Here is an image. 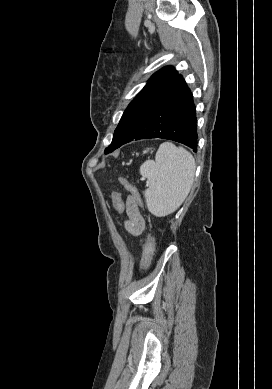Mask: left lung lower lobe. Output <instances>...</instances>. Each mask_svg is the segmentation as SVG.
Wrapping results in <instances>:
<instances>
[{
  "mask_svg": "<svg viewBox=\"0 0 272 389\" xmlns=\"http://www.w3.org/2000/svg\"><path fill=\"white\" fill-rule=\"evenodd\" d=\"M147 138L173 140L197 152L195 105L192 93L181 75H177L152 96L120 146Z\"/></svg>",
  "mask_w": 272,
  "mask_h": 389,
  "instance_id": "obj_1",
  "label": "left lung lower lobe"
}]
</instances>
